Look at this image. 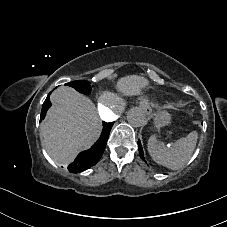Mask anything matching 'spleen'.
<instances>
[{
	"label": "spleen",
	"mask_w": 227,
	"mask_h": 227,
	"mask_svg": "<svg viewBox=\"0 0 227 227\" xmlns=\"http://www.w3.org/2000/svg\"><path fill=\"white\" fill-rule=\"evenodd\" d=\"M197 139L198 133L192 131L168 147L163 142L157 141L156 136L152 135L148 140V152L157 164L177 170L183 167L190 158L196 147Z\"/></svg>",
	"instance_id": "spleen-1"
}]
</instances>
